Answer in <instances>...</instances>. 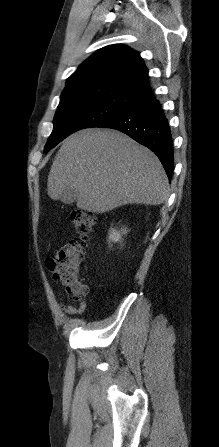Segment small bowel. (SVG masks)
Instances as JSON below:
<instances>
[{
    "mask_svg": "<svg viewBox=\"0 0 219 447\" xmlns=\"http://www.w3.org/2000/svg\"><path fill=\"white\" fill-rule=\"evenodd\" d=\"M60 308L67 314L79 315L82 314L87 308V301L83 300L80 302H75L73 304L65 305L60 304Z\"/></svg>",
    "mask_w": 219,
    "mask_h": 447,
    "instance_id": "c3829d8e",
    "label": "small bowel"
}]
</instances>
